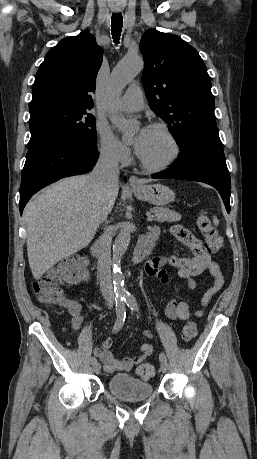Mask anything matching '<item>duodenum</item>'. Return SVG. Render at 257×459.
<instances>
[{
    "label": "duodenum",
    "instance_id": "duodenum-1",
    "mask_svg": "<svg viewBox=\"0 0 257 459\" xmlns=\"http://www.w3.org/2000/svg\"><path fill=\"white\" fill-rule=\"evenodd\" d=\"M156 238H157V232L150 231L137 242V245L132 254L133 263H139L150 253ZM100 243L101 241L99 239L96 240L95 245H94L95 253L98 251V248L100 247Z\"/></svg>",
    "mask_w": 257,
    "mask_h": 459
}]
</instances>
